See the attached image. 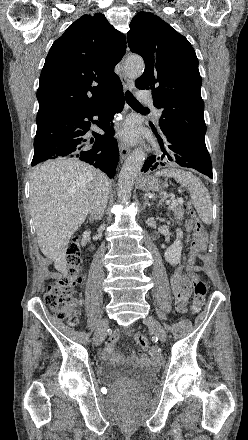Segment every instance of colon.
I'll use <instances>...</instances> for the list:
<instances>
[{"instance_id":"obj_1","label":"colon","mask_w":248,"mask_h":440,"mask_svg":"<svg viewBox=\"0 0 248 440\" xmlns=\"http://www.w3.org/2000/svg\"><path fill=\"white\" fill-rule=\"evenodd\" d=\"M188 214L194 227V235L190 244L187 269L193 285L192 311L198 313L205 300L206 284L196 271V258L205 248V227L199 220L194 208L189 205ZM67 270L64 276L52 282L45 293V303L51 312L58 318L66 319L70 325L79 321L76 314L77 301L74 297V288L81 279V260L78 240L75 238L67 250ZM135 342L141 348H148L149 342L145 335L136 334Z\"/></svg>"}]
</instances>
